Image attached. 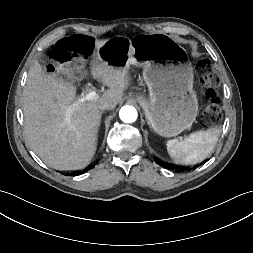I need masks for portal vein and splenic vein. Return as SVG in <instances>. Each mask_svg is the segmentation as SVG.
<instances>
[{
	"label": "portal vein and splenic vein",
	"mask_w": 253,
	"mask_h": 253,
	"mask_svg": "<svg viewBox=\"0 0 253 253\" xmlns=\"http://www.w3.org/2000/svg\"><path fill=\"white\" fill-rule=\"evenodd\" d=\"M97 97L98 96H97V93L95 91H89L85 95H82V97L79 100L81 102H85V101L95 100Z\"/></svg>",
	"instance_id": "portal-vein-and-splenic-vein-1"
}]
</instances>
